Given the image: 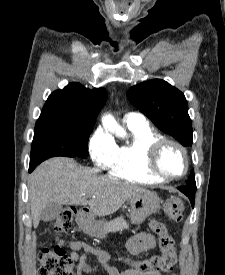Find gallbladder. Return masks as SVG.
<instances>
[{
  "label": "gallbladder",
  "mask_w": 225,
  "mask_h": 275,
  "mask_svg": "<svg viewBox=\"0 0 225 275\" xmlns=\"http://www.w3.org/2000/svg\"><path fill=\"white\" fill-rule=\"evenodd\" d=\"M62 209V205L55 202H49L42 210L40 220L44 222L52 221L61 213Z\"/></svg>",
  "instance_id": "1"
}]
</instances>
